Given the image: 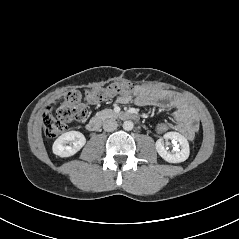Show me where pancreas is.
<instances>
[{
	"label": "pancreas",
	"instance_id": "pancreas-1",
	"mask_svg": "<svg viewBox=\"0 0 239 239\" xmlns=\"http://www.w3.org/2000/svg\"><path fill=\"white\" fill-rule=\"evenodd\" d=\"M98 117H105V116H112L114 115L113 110L111 109H105L96 114Z\"/></svg>",
	"mask_w": 239,
	"mask_h": 239
}]
</instances>
